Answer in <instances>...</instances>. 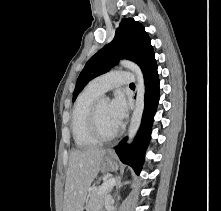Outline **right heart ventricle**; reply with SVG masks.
I'll list each match as a JSON object with an SVG mask.
<instances>
[{
  "instance_id": "right-heart-ventricle-1",
  "label": "right heart ventricle",
  "mask_w": 221,
  "mask_h": 211,
  "mask_svg": "<svg viewBox=\"0 0 221 211\" xmlns=\"http://www.w3.org/2000/svg\"><path fill=\"white\" fill-rule=\"evenodd\" d=\"M102 93L91 84L79 94L72 111L71 130L75 144L80 148H89L98 144L88 128V116L93 103Z\"/></svg>"
}]
</instances>
